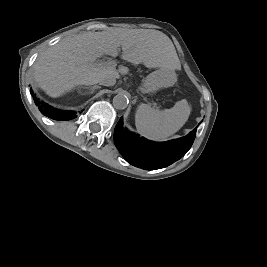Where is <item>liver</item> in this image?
I'll use <instances>...</instances> for the list:
<instances>
[{"label":"liver","instance_id":"1","mask_svg":"<svg viewBox=\"0 0 267 267\" xmlns=\"http://www.w3.org/2000/svg\"><path fill=\"white\" fill-rule=\"evenodd\" d=\"M122 48V58L147 68L180 69V61L172 41L157 30L113 29L87 32L59 41L46 49L33 65L38 86L50 97H59L79 85H93L105 76L113 78L128 73L108 63H96L103 55L116 57Z\"/></svg>","mask_w":267,"mask_h":267}]
</instances>
